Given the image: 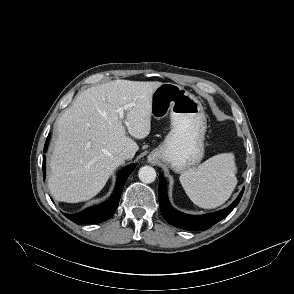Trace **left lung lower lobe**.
I'll return each instance as SVG.
<instances>
[{
	"label": "left lung lower lobe",
	"instance_id": "obj_1",
	"mask_svg": "<svg viewBox=\"0 0 294 294\" xmlns=\"http://www.w3.org/2000/svg\"><path fill=\"white\" fill-rule=\"evenodd\" d=\"M244 192V188L240 192L237 199L226 209L221 210L216 213L202 215V216H191L184 213H181L175 209H173L169 203L167 193H166V180L162 174H159V204L163 217L165 220L175 226L185 230L190 231H199V230H207L209 227L213 226L223 218H225L228 214L232 212V210L239 203Z\"/></svg>",
	"mask_w": 294,
	"mask_h": 294
}]
</instances>
